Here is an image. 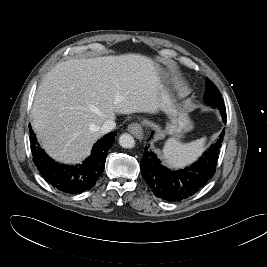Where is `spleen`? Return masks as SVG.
I'll use <instances>...</instances> for the list:
<instances>
[{
	"instance_id": "1",
	"label": "spleen",
	"mask_w": 267,
	"mask_h": 267,
	"mask_svg": "<svg viewBox=\"0 0 267 267\" xmlns=\"http://www.w3.org/2000/svg\"><path fill=\"white\" fill-rule=\"evenodd\" d=\"M205 140V138H201L189 143H182L175 138L169 139L163 149L165 162L172 168H181L191 164L201 155Z\"/></svg>"
}]
</instances>
